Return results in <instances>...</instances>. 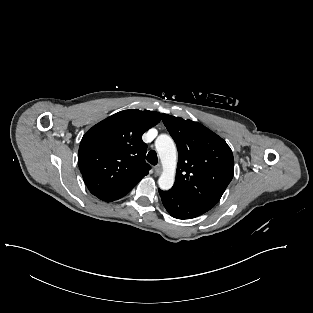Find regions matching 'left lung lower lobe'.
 <instances>
[{"label": "left lung lower lobe", "instance_id": "obj_1", "mask_svg": "<svg viewBox=\"0 0 313 313\" xmlns=\"http://www.w3.org/2000/svg\"><path fill=\"white\" fill-rule=\"evenodd\" d=\"M162 203L169 214L177 219H191L200 216L212 207L175 194L172 191L159 189Z\"/></svg>", "mask_w": 313, "mask_h": 313}]
</instances>
